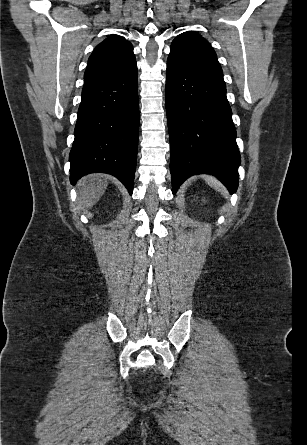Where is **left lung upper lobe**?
Listing matches in <instances>:
<instances>
[{
  "label": "left lung upper lobe",
  "mask_w": 307,
  "mask_h": 445,
  "mask_svg": "<svg viewBox=\"0 0 307 445\" xmlns=\"http://www.w3.org/2000/svg\"><path fill=\"white\" fill-rule=\"evenodd\" d=\"M169 58L183 63L200 76L225 86L216 53L202 36L191 32L180 34L171 44Z\"/></svg>",
  "instance_id": "1"
}]
</instances>
